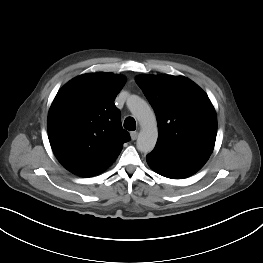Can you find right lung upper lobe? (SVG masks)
<instances>
[{
  "mask_svg": "<svg viewBox=\"0 0 263 263\" xmlns=\"http://www.w3.org/2000/svg\"><path fill=\"white\" fill-rule=\"evenodd\" d=\"M125 81L112 73L84 74L57 93L48 114V136L55 156L70 172L81 177L101 173L130 140L114 104Z\"/></svg>",
  "mask_w": 263,
  "mask_h": 263,
  "instance_id": "obj_1",
  "label": "right lung upper lobe"
}]
</instances>
